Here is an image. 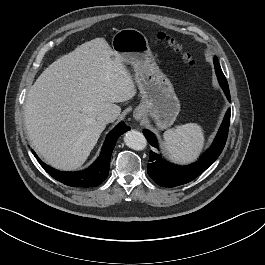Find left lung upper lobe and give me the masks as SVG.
<instances>
[{
	"label": "left lung upper lobe",
	"instance_id": "1",
	"mask_svg": "<svg viewBox=\"0 0 265 265\" xmlns=\"http://www.w3.org/2000/svg\"><path fill=\"white\" fill-rule=\"evenodd\" d=\"M215 60L217 61V59H216V58H215ZM220 72H221V74H222V77H223V79H224V82H225L226 86L228 87L227 80H226V78H225V76H224V74H223V72H222V70H221V69H220Z\"/></svg>",
	"mask_w": 265,
	"mask_h": 265
}]
</instances>
